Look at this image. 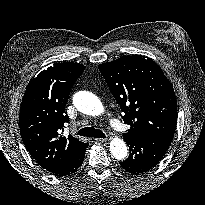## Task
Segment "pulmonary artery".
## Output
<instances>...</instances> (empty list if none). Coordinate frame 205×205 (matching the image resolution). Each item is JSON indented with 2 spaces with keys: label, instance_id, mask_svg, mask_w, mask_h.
Masks as SVG:
<instances>
[{
  "label": "pulmonary artery",
  "instance_id": "pulmonary-artery-1",
  "mask_svg": "<svg viewBox=\"0 0 205 205\" xmlns=\"http://www.w3.org/2000/svg\"><path fill=\"white\" fill-rule=\"evenodd\" d=\"M112 127L116 130V131H121V126L118 123H115L112 125Z\"/></svg>",
  "mask_w": 205,
  "mask_h": 205
}]
</instances>
